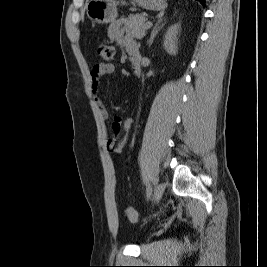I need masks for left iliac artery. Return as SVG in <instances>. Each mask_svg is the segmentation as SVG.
I'll use <instances>...</instances> for the list:
<instances>
[{"instance_id": "obj_1", "label": "left iliac artery", "mask_w": 267, "mask_h": 267, "mask_svg": "<svg viewBox=\"0 0 267 267\" xmlns=\"http://www.w3.org/2000/svg\"><path fill=\"white\" fill-rule=\"evenodd\" d=\"M146 185H147V188H146V192H147V199H149V198H150V196H151L152 189H151L150 185H149V184H147V182H146Z\"/></svg>"}]
</instances>
